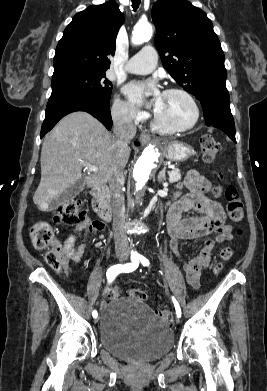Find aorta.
Segmentation results:
<instances>
[{
    "instance_id": "aorta-1",
    "label": "aorta",
    "mask_w": 267,
    "mask_h": 391,
    "mask_svg": "<svg viewBox=\"0 0 267 391\" xmlns=\"http://www.w3.org/2000/svg\"><path fill=\"white\" fill-rule=\"evenodd\" d=\"M153 34L152 25L149 23H138L135 25L131 42L134 45H140L148 41ZM159 152L154 145L146 147L136 162L133 170L136 190H141L149 180L151 171L158 162Z\"/></svg>"
}]
</instances>
